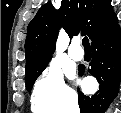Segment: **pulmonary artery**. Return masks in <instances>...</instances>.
<instances>
[{
	"mask_svg": "<svg viewBox=\"0 0 121 113\" xmlns=\"http://www.w3.org/2000/svg\"><path fill=\"white\" fill-rule=\"evenodd\" d=\"M69 56L75 61H80L84 57L83 51L80 49L78 44L72 43L69 47Z\"/></svg>",
	"mask_w": 121,
	"mask_h": 113,
	"instance_id": "1",
	"label": "pulmonary artery"
}]
</instances>
